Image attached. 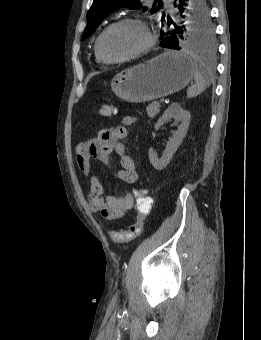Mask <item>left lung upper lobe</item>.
<instances>
[{
	"label": "left lung upper lobe",
	"mask_w": 261,
	"mask_h": 340,
	"mask_svg": "<svg viewBox=\"0 0 261 340\" xmlns=\"http://www.w3.org/2000/svg\"><path fill=\"white\" fill-rule=\"evenodd\" d=\"M159 1V0H155ZM163 6L162 2H158L150 12L153 14ZM128 7L130 9L142 8L141 0H94L91 8L87 13V26L84 30L82 41L90 36L101 21L112 11ZM147 7H143L145 12ZM183 20L177 26L172 23L174 29L171 31H161L160 39L165 36L173 35L178 40L179 49L183 47L195 48L202 51H214L215 34L214 27L210 20L209 10L204 0H189V5L182 15Z\"/></svg>",
	"instance_id": "left-lung-upper-lobe-1"
}]
</instances>
